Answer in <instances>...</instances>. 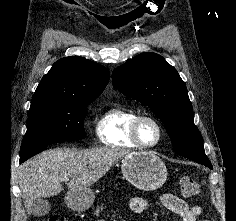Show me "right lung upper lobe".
I'll list each match as a JSON object with an SVG mask.
<instances>
[{
	"instance_id": "right-lung-upper-lobe-1",
	"label": "right lung upper lobe",
	"mask_w": 236,
	"mask_h": 221,
	"mask_svg": "<svg viewBox=\"0 0 236 221\" xmlns=\"http://www.w3.org/2000/svg\"><path fill=\"white\" fill-rule=\"evenodd\" d=\"M109 77V70L93 61L65 57L42 78L32 100L92 101L102 93Z\"/></svg>"
}]
</instances>
